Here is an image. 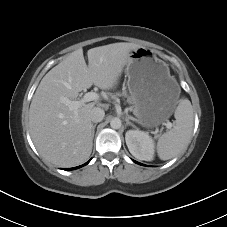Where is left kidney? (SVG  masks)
Segmentation results:
<instances>
[{"mask_svg":"<svg viewBox=\"0 0 227 227\" xmlns=\"http://www.w3.org/2000/svg\"><path fill=\"white\" fill-rule=\"evenodd\" d=\"M125 140L130 153L137 159L151 161L154 158V140L145 132L129 130Z\"/></svg>","mask_w":227,"mask_h":227,"instance_id":"obj_1","label":"left kidney"}]
</instances>
